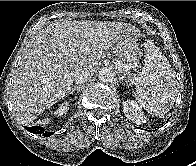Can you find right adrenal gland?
I'll list each match as a JSON object with an SVG mask.
<instances>
[{
  "instance_id": "right-adrenal-gland-1",
  "label": "right adrenal gland",
  "mask_w": 196,
  "mask_h": 166,
  "mask_svg": "<svg viewBox=\"0 0 196 166\" xmlns=\"http://www.w3.org/2000/svg\"><path fill=\"white\" fill-rule=\"evenodd\" d=\"M82 88H83L82 85H75V86L71 89L70 94H73L75 91H80Z\"/></svg>"
}]
</instances>
